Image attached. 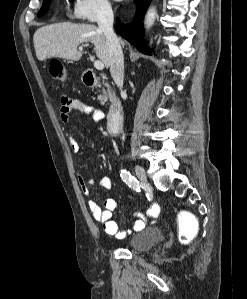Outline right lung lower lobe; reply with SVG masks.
Segmentation results:
<instances>
[{
	"label": "right lung lower lobe",
	"instance_id": "98d812e1",
	"mask_svg": "<svg viewBox=\"0 0 247 299\" xmlns=\"http://www.w3.org/2000/svg\"><path fill=\"white\" fill-rule=\"evenodd\" d=\"M136 4V15L130 24H122L117 19L116 32L134 45L140 52L150 54L151 49L147 47L144 40L143 19L151 0H134Z\"/></svg>",
	"mask_w": 247,
	"mask_h": 299
}]
</instances>
